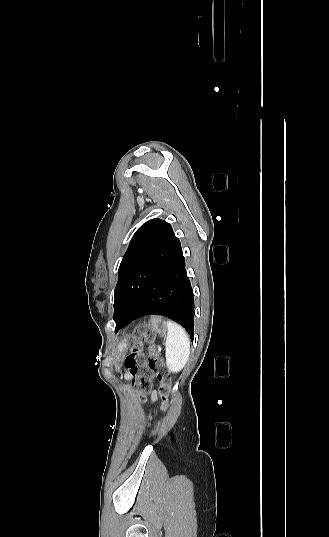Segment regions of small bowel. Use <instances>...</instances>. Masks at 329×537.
<instances>
[{
	"instance_id": "c3829d8e",
	"label": "small bowel",
	"mask_w": 329,
	"mask_h": 537,
	"mask_svg": "<svg viewBox=\"0 0 329 537\" xmlns=\"http://www.w3.org/2000/svg\"><path fill=\"white\" fill-rule=\"evenodd\" d=\"M127 377H128L129 379H131V378H133V375L129 372V373L127 374ZM153 398H155V393L153 394Z\"/></svg>"
}]
</instances>
